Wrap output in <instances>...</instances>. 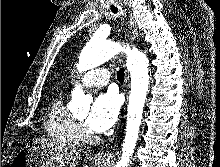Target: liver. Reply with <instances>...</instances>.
Returning <instances> with one entry per match:
<instances>
[{
  "mask_svg": "<svg viewBox=\"0 0 220 167\" xmlns=\"http://www.w3.org/2000/svg\"><path fill=\"white\" fill-rule=\"evenodd\" d=\"M31 148L39 151L45 160H54L63 164L76 161L80 157V150L59 146L54 141L44 138L35 139Z\"/></svg>",
  "mask_w": 220,
  "mask_h": 167,
  "instance_id": "liver-1",
  "label": "liver"
}]
</instances>
